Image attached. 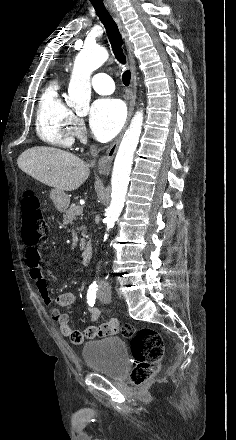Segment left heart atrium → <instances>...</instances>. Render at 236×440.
Returning <instances> with one entry per match:
<instances>
[{
  "instance_id": "1",
  "label": "left heart atrium",
  "mask_w": 236,
  "mask_h": 440,
  "mask_svg": "<svg viewBox=\"0 0 236 440\" xmlns=\"http://www.w3.org/2000/svg\"><path fill=\"white\" fill-rule=\"evenodd\" d=\"M125 107L114 98L96 100L90 110V123L94 136L100 141L111 140L125 121Z\"/></svg>"
}]
</instances>
